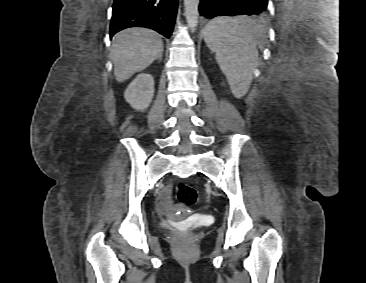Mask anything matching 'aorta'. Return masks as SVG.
<instances>
[{
	"label": "aorta",
	"instance_id": "1",
	"mask_svg": "<svg viewBox=\"0 0 366 283\" xmlns=\"http://www.w3.org/2000/svg\"><path fill=\"white\" fill-rule=\"evenodd\" d=\"M198 6L199 0H184L185 17L192 31H195L198 25Z\"/></svg>",
	"mask_w": 366,
	"mask_h": 283
}]
</instances>
